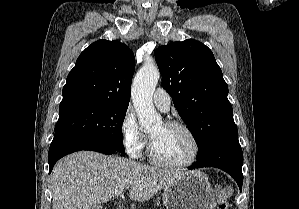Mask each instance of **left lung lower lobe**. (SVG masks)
Listing matches in <instances>:
<instances>
[{"label":"left lung lower lobe","mask_w":299,"mask_h":209,"mask_svg":"<svg viewBox=\"0 0 299 209\" xmlns=\"http://www.w3.org/2000/svg\"><path fill=\"white\" fill-rule=\"evenodd\" d=\"M243 153L238 140V130L230 131L217 139L215 143L197 159L189 169L201 167H216L226 171L237 182L242 190Z\"/></svg>","instance_id":"left-lung-lower-lobe-1"}]
</instances>
